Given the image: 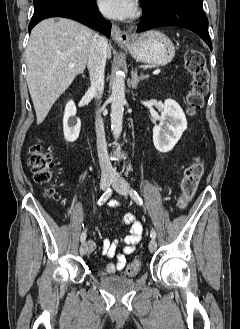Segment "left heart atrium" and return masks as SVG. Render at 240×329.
Wrapping results in <instances>:
<instances>
[{
  "label": "left heart atrium",
  "instance_id": "39dd6f15",
  "mask_svg": "<svg viewBox=\"0 0 240 329\" xmlns=\"http://www.w3.org/2000/svg\"><path fill=\"white\" fill-rule=\"evenodd\" d=\"M102 13L113 19H126L133 16L135 5L133 0H98Z\"/></svg>",
  "mask_w": 240,
  "mask_h": 329
}]
</instances>
